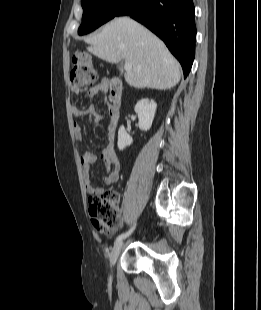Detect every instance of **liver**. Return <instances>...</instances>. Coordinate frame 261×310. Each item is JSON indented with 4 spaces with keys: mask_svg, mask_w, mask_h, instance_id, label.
<instances>
[{
    "mask_svg": "<svg viewBox=\"0 0 261 310\" xmlns=\"http://www.w3.org/2000/svg\"><path fill=\"white\" fill-rule=\"evenodd\" d=\"M85 41L90 45L87 50L98 58L112 64L129 63L124 78L132 87L167 90L180 81L179 63L165 44L129 17L113 19Z\"/></svg>",
    "mask_w": 261,
    "mask_h": 310,
    "instance_id": "liver-1",
    "label": "liver"
}]
</instances>
